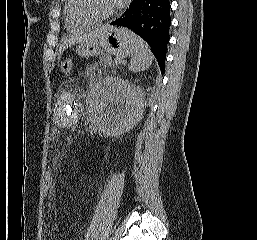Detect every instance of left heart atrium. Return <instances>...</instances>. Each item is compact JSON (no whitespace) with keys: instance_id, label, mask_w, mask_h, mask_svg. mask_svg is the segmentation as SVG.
<instances>
[{"instance_id":"1","label":"left heart atrium","mask_w":257,"mask_h":240,"mask_svg":"<svg viewBox=\"0 0 257 240\" xmlns=\"http://www.w3.org/2000/svg\"><path fill=\"white\" fill-rule=\"evenodd\" d=\"M112 1H113L114 6H119V5H121L123 0H112Z\"/></svg>"}]
</instances>
